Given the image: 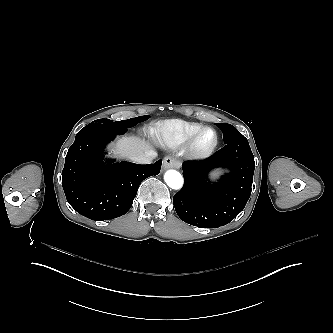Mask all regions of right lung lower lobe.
Instances as JSON below:
<instances>
[{
  "label": "right lung lower lobe",
  "instance_id": "obj_1",
  "mask_svg": "<svg viewBox=\"0 0 333 333\" xmlns=\"http://www.w3.org/2000/svg\"><path fill=\"white\" fill-rule=\"evenodd\" d=\"M126 131L92 122L77 133L67 152L62 171L67 201L91 220H109L127 213L141 182L160 171L161 160L148 165L104 162L105 146Z\"/></svg>",
  "mask_w": 333,
  "mask_h": 333
}]
</instances>
